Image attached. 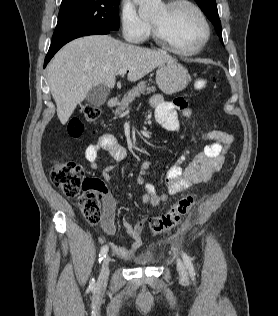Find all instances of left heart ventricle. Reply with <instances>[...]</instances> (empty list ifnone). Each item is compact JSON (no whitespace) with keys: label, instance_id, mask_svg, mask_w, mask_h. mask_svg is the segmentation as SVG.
Wrapping results in <instances>:
<instances>
[{"label":"left heart ventricle","instance_id":"b2bd125f","mask_svg":"<svg viewBox=\"0 0 278 316\" xmlns=\"http://www.w3.org/2000/svg\"><path fill=\"white\" fill-rule=\"evenodd\" d=\"M179 47L193 49L204 37V27L193 9L182 5L168 11L164 5L151 18Z\"/></svg>","mask_w":278,"mask_h":316}]
</instances>
